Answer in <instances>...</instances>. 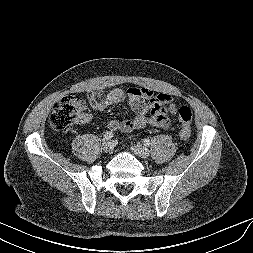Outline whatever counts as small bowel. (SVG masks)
Returning a JSON list of instances; mask_svg holds the SVG:
<instances>
[{"mask_svg":"<svg viewBox=\"0 0 253 253\" xmlns=\"http://www.w3.org/2000/svg\"><path fill=\"white\" fill-rule=\"evenodd\" d=\"M87 99L92 109L101 111L113 104L127 100L134 112L132 119H111L108 128L111 131L130 132L151 125L157 128L169 126L168 114H179L173 97L166 93H158L143 88H116L108 93L91 90L87 93ZM88 115L83 117L89 120Z\"/></svg>","mask_w":253,"mask_h":253,"instance_id":"obj_1","label":"small bowel"}]
</instances>
